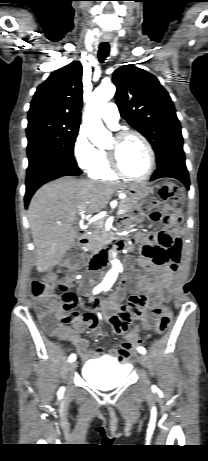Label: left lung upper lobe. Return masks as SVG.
Here are the masks:
<instances>
[{"label": "left lung upper lobe", "mask_w": 208, "mask_h": 461, "mask_svg": "<svg viewBox=\"0 0 208 461\" xmlns=\"http://www.w3.org/2000/svg\"><path fill=\"white\" fill-rule=\"evenodd\" d=\"M113 82L121 116L151 143L157 165L184 153L173 102L159 80L143 69L124 65L113 73Z\"/></svg>", "instance_id": "obj_1"}]
</instances>
